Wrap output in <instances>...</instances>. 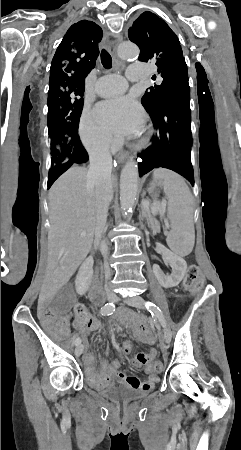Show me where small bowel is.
<instances>
[{
  "instance_id": "small-bowel-1",
  "label": "small bowel",
  "mask_w": 241,
  "mask_h": 450,
  "mask_svg": "<svg viewBox=\"0 0 241 450\" xmlns=\"http://www.w3.org/2000/svg\"><path fill=\"white\" fill-rule=\"evenodd\" d=\"M39 306L40 310H36L35 313L36 319L56 318V311L49 310V302L47 300L40 301ZM66 315L68 317H71L73 314L71 312H68ZM57 325L59 327L55 329L53 328L54 322L52 320H46L43 323L44 328L49 329L48 332L52 336L55 334L58 336L65 335L67 333L66 329L69 328L71 324L69 321L65 320L63 322H59ZM128 326L130 327L131 331L135 335L136 340L139 343L150 346L149 352L138 353L132 359V363L135 366L144 367V372L147 378L145 380H142L136 376L127 375L121 372L119 370L120 362L118 360H103L101 362L100 370H96L93 356L90 353H86L84 356L87 372L89 373L93 383L97 387H104L110 384H121L123 386H127L144 393L150 392L159 381L156 371L154 370V366L152 365V362L157 358L159 354V350L156 345V338L154 333L150 331V326L148 324H139L137 326V329L133 328L132 324H128ZM75 327L86 335L92 331L100 330L101 324L97 319L88 316L87 319H77L75 321ZM57 340L60 342L62 339L59 337ZM131 348V342L125 341L123 343L122 353L129 354Z\"/></svg>"
}]
</instances>
